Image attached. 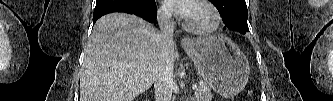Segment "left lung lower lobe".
<instances>
[{
    "mask_svg": "<svg viewBox=\"0 0 333 101\" xmlns=\"http://www.w3.org/2000/svg\"><path fill=\"white\" fill-rule=\"evenodd\" d=\"M242 1L245 2V0H242ZM245 4H246V3H245ZM225 28H226V27H225ZM248 31H249V28H248V29H242V30H241V33H242V34H245V33L248 32Z\"/></svg>",
    "mask_w": 333,
    "mask_h": 101,
    "instance_id": "0a47b994",
    "label": "left lung lower lobe"
}]
</instances>
